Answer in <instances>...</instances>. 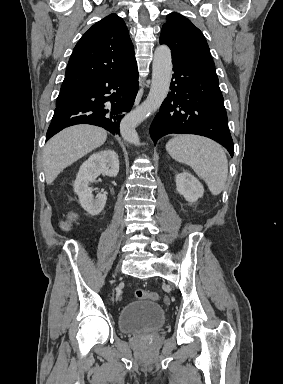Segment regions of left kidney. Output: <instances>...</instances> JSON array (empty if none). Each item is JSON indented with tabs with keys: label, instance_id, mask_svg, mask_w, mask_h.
Masks as SVG:
<instances>
[{
	"label": "left kidney",
	"instance_id": "obj_1",
	"mask_svg": "<svg viewBox=\"0 0 283 384\" xmlns=\"http://www.w3.org/2000/svg\"><path fill=\"white\" fill-rule=\"evenodd\" d=\"M177 192L184 196L187 202H197L204 194V188L197 178L189 172H182L176 176Z\"/></svg>",
	"mask_w": 283,
	"mask_h": 384
}]
</instances>
